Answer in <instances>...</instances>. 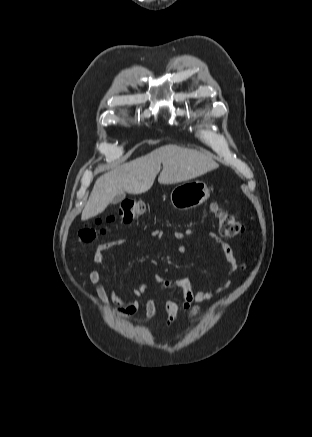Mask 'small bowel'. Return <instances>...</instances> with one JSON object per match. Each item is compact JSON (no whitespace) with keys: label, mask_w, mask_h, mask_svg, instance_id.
<instances>
[{"label":"small bowel","mask_w":312,"mask_h":437,"mask_svg":"<svg viewBox=\"0 0 312 437\" xmlns=\"http://www.w3.org/2000/svg\"><path fill=\"white\" fill-rule=\"evenodd\" d=\"M194 229H188L185 233L181 231H174L173 236L182 240L185 235H194ZM153 237L161 238L163 232L155 229L151 232ZM207 237L219 246L226 262V269L221 282L213 289L194 291L192 284L188 278L181 277L176 279H166L159 275L155 277V281L161 286L163 291H170L172 289H179L182 291V296L179 300L169 299L165 303V310L167 314L166 326L172 325L178 317L180 309H183L187 317H193L201 313L202 308L199 305L201 302L211 301L215 297L222 294L230 285V279L237 269H242L243 265L237 261L231 247L223 242L214 233L208 232ZM124 241L106 242L99 244L93 254V263L99 266L106 258L108 250L116 245L123 244ZM183 248V246H181ZM89 280L96 287L97 296L101 301L108 305H113L114 310L124 316L133 315L139 309V304L135 300L123 299L114 289L106 290L102 283L101 275L96 268L89 272ZM148 290L147 284H142L133 290L135 296H140ZM156 315V302L153 298L146 301L144 322L152 320Z\"/></svg>","instance_id":"small-bowel-1"}]
</instances>
